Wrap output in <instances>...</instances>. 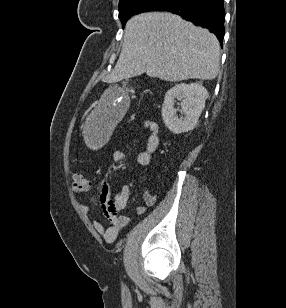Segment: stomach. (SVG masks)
I'll return each mask as SVG.
<instances>
[{"instance_id":"stomach-1","label":"stomach","mask_w":286,"mask_h":308,"mask_svg":"<svg viewBox=\"0 0 286 308\" xmlns=\"http://www.w3.org/2000/svg\"><path fill=\"white\" fill-rule=\"evenodd\" d=\"M127 96L122 85H111L109 89H102L95 109H88L87 122H83L85 142L89 149H96V142H108L110 130L119 124L121 110H126Z\"/></svg>"}]
</instances>
